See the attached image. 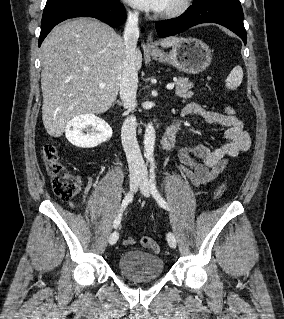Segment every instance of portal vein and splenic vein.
Instances as JSON below:
<instances>
[{
    "mask_svg": "<svg viewBox=\"0 0 284 319\" xmlns=\"http://www.w3.org/2000/svg\"><path fill=\"white\" fill-rule=\"evenodd\" d=\"M99 87H101V88L105 87V83L100 82V83H99ZM166 88H167L168 90L173 89V88H174V83H169V84H167Z\"/></svg>",
    "mask_w": 284,
    "mask_h": 319,
    "instance_id": "obj_1",
    "label": "portal vein and splenic vein"
}]
</instances>
